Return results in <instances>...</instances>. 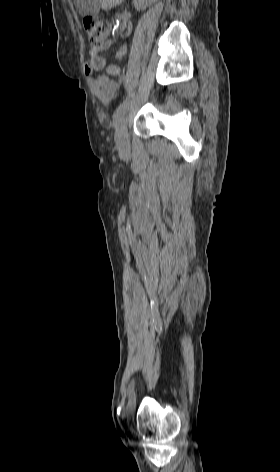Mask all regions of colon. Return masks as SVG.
Wrapping results in <instances>:
<instances>
[{
    "label": "colon",
    "mask_w": 280,
    "mask_h": 472,
    "mask_svg": "<svg viewBox=\"0 0 280 472\" xmlns=\"http://www.w3.org/2000/svg\"><path fill=\"white\" fill-rule=\"evenodd\" d=\"M83 25L87 33L89 45L92 49L107 46L112 31L114 30L122 34L129 32V26L126 23L117 22L113 25L108 21L93 16L85 17Z\"/></svg>",
    "instance_id": "colon-1"
}]
</instances>
